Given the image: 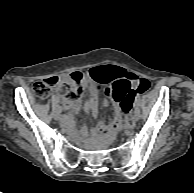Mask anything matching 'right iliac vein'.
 <instances>
[{
	"label": "right iliac vein",
	"mask_w": 194,
	"mask_h": 193,
	"mask_svg": "<svg viewBox=\"0 0 194 193\" xmlns=\"http://www.w3.org/2000/svg\"><path fill=\"white\" fill-rule=\"evenodd\" d=\"M59 121H62V118H58Z\"/></svg>",
	"instance_id": "63e3f726"
}]
</instances>
